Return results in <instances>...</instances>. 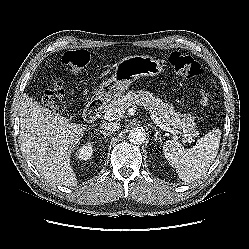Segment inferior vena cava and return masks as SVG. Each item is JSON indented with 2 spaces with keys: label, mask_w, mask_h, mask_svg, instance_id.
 Wrapping results in <instances>:
<instances>
[{
  "label": "inferior vena cava",
  "mask_w": 249,
  "mask_h": 249,
  "mask_svg": "<svg viewBox=\"0 0 249 249\" xmlns=\"http://www.w3.org/2000/svg\"><path fill=\"white\" fill-rule=\"evenodd\" d=\"M100 128L111 132H116L120 130L121 126L118 122H108V123L106 122L100 124Z\"/></svg>",
  "instance_id": "obj_1"
}]
</instances>
